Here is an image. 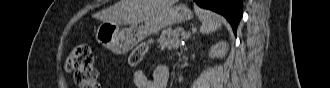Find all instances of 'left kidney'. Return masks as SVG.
<instances>
[{
    "mask_svg": "<svg viewBox=\"0 0 330 88\" xmlns=\"http://www.w3.org/2000/svg\"><path fill=\"white\" fill-rule=\"evenodd\" d=\"M229 46L226 42L220 41L216 43L209 51V57L214 58H224L228 52Z\"/></svg>",
    "mask_w": 330,
    "mask_h": 88,
    "instance_id": "left-kidney-1",
    "label": "left kidney"
}]
</instances>
